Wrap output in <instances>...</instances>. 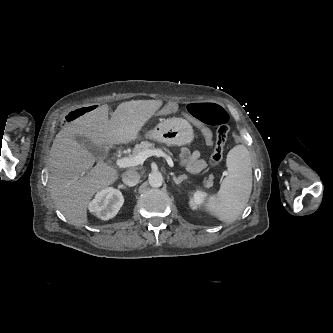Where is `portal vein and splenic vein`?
Wrapping results in <instances>:
<instances>
[{
    "label": "portal vein and splenic vein",
    "mask_w": 333,
    "mask_h": 333,
    "mask_svg": "<svg viewBox=\"0 0 333 333\" xmlns=\"http://www.w3.org/2000/svg\"><path fill=\"white\" fill-rule=\"evenodd\" d=\"M150 156L164 157L170 167L174 166L172 159L162 150L152 149L145 150L138 153L136 156L124 157L116 161V165L120 168L133 167L143 164V162Z\"/></svg>",
    "instance_id": "1"
}]
</instances>
